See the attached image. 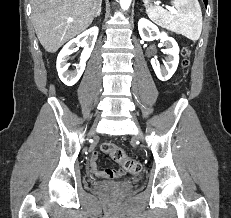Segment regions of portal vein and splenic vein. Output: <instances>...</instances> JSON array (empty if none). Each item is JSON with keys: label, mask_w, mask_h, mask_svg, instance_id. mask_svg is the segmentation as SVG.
<instances>
[{"label": "portal vein and splenic vein", "mask_w": 231, "mask_h": 218, "mask_svg": "<svg viewBox=\"0 0 231 218\" xmlns=\"http://www.w3.org/2000/svg\"><path fill=\"white\" fill-rule=\"evenodd\" d=\"M169 10H170V11H172V12H174V11H175L174 9H171V8H169ZM70 21H72V20H70Z\"/></svg>", "instance_id": "obj_1"}]
</instances>
